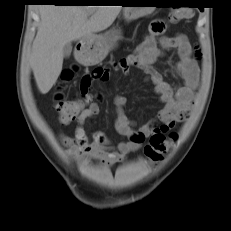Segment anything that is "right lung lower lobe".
Masks as SVG:
<instances>
[{
    "label": "right lung lower lobe",
    "mask_w": 231,
    "mask_h": 231,
    "mask_svg": "<svg viewBox=\"0 0 231 231\" xmlns=\"http://www.w3.org/2000/svg\"><path fill=\"white\" fill-rule=\"evenodd\" d=\"M41 3H54L56 5H77L73 0H36Z\"/></svg>",
    "instance_id": "obj_1"
}]
</instances>
